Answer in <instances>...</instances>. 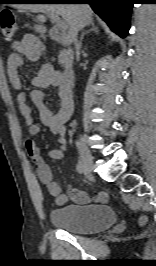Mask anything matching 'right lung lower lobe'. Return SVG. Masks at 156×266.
<instances>
[{"label": "right lung lower lobe", "mask_w": 156, "mask_h": 266, "mask_svg": "<svg viewBox=\"0 0 156 266\" xmlns=\"http://www.w3.org/2000/svg\"><path fill=\"white\" fill-rule=\"evenodd\" d=\"M59 4H89L109 27L122 38L130 27V12L134 0H50Z\"/></svg>", "instance_id": "1"}]
</instances>
